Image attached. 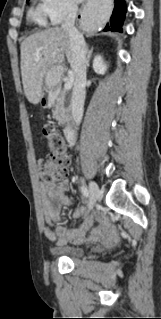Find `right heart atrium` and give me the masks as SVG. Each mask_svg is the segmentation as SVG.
Returning a JSON list of instances; mask_svg holds the SVG:
<instances>
[{"instance_id": "obj_1", "label": "right heart atrium", "mask_w": 161, "mask_h": 319, "mask_svg": "<svg viewBox=\"0 0 161 319\" xmlns=\"http://www.w3.org/2000/svg\"><path fill=\"white\" fill-rule=\"evenodd\" d=\"M42 7L51 24L58 25L63 19L76 11L73 0H41Z\"/></svg>"}]
</instances>
